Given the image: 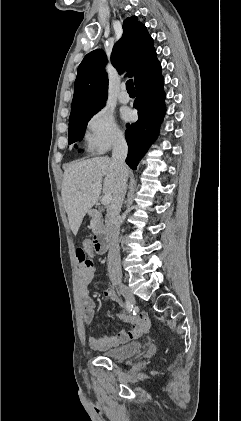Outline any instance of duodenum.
<instances>
[{"label": "duodenum", "mask_w": 241, "mask_h": 421, "mask_svg": "<svg viewBox=\"0 0 241 421\" xmlns=\"http://www.w3.org/2000/svg\"><path fill=\"white\" fill-rule=\"evenodd\" d=\"M88 216L96 222V230L93 237V247L96 253L104 254L109 247V234L106 227L102 223L101 213L97 210H90Z\"/></svg>", "instance_id": "duodenum-1"}]
</instances>
